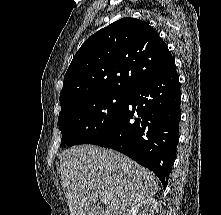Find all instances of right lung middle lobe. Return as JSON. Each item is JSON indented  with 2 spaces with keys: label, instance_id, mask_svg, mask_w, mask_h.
I'll list each match as a JSON object with an SVG mask.
<instances>
[{
  "label": "right lung middle lobe",
  "instance_id": "right-lung-middle-lobe-1",
  "mask_svg": "<svg viewBox=\"0 0 221 215\" xmlns=\"http://www.w3.org/2000/svg\"><path fill=\"white\" fill-rule=\"evenodd\" d=\"M125 93H107L80 100L61 109L58 125L60 146L90 143L107 133L120 118L126 102Z\"/></svg>",
  "mask_w": 221,
  "mask_h": 215
}]
</instances>
